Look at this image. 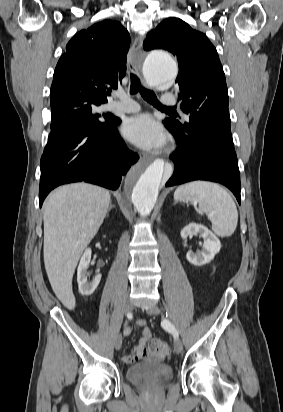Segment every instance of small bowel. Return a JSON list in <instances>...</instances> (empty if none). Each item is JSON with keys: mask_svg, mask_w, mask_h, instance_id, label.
<instances>
[{"mask_svg": "<svg viewBox=\"0 0 283 412\" xmlns=\"http://www.w3.org/2000/svg\"><path fill=\"white\" fill-rule=\"evenodd\" d=\"M142 328V338L139 340L137 345L134 347L133 351L123 357V362L127 364H132L145 359L148 354L146 351V344L151 338L152 334L149 328L146 326V321L144 319H139L133 326L127 327L124 331L126 335L133 332L135 328Z\"/></svg>", "mask_w": 283, "mask_h": 412, "instance_id": "obj_1", "label": "small bowel"}]
</instances>
